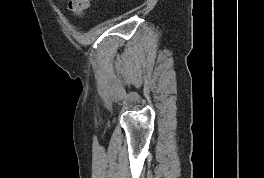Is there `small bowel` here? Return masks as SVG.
<instances>
[{
	"mask_svg": "<svg viewBox=\"0 0 264 178\" xmlns=\"http://www.w3.org/2000/svg\"><path fill=\"white\" fill-rule=\"evenodd\" d=\"M91 0H68L67 8L76 14H80L89 7Z\"/></svg>",
	"mask_w": 264,
	"mask_h": 178,
	"instance_id": "c3829d8e",
	"label": "small bowel"
}]
</instances>
